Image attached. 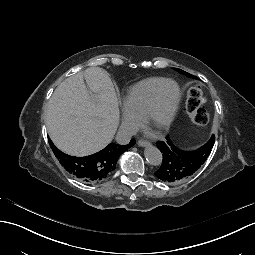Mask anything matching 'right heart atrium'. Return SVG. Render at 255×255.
I'll return each instance as SVG.
<instances>
[{
    "instance_id": "obj_1",
    "label": "right heart atrium",
    "mask_w": 255,
    "mask_h": 255,
    "mask_svg": "<svg viewBox=\"0 0 255 255\" xmlns=\"http://www.w3.org/2000/svg\"><path fill=\"white\" fill-rule=\"evenodd\" d=\"M122 127L125 132L127 133H132L136 129V122L134 118H132L130 115L127 113L122 114Z\"/></svg>"
}]
</instances>
